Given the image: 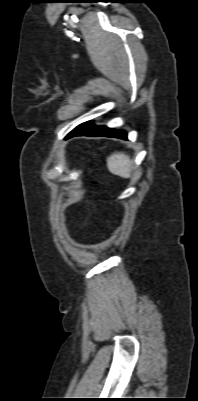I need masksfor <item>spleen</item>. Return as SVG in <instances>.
Listing matches in <instances>:
<instances>
[{
	"label": "spleen",
	"instance_id": "obj_1",
	"mask_svg": "<svg viewBox=\"0 0 198 401\" xmlns=\"http://www.w3.org/2000/svg\"><path fill=\"white\" fill-rule=\"evenodd\" d=\"M107 167L114 175L130 178L133 165L128 155L116 152L107 158Z\"/></svg>",
	"mask_w": 198,
	"mask_h": 401
}]
</instances>
